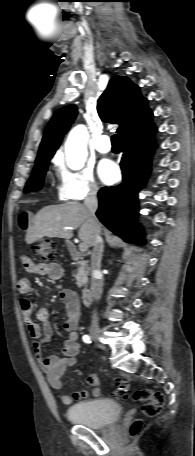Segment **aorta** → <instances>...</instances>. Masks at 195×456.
Returning a JSON list of instances; mask_svg holds the SVG:
<instances>
[{"label":"aorta","instance_id":"762f6f07","mask_svg":"<svg viewBox=\"0 0 195 456\" xmlns=\"http://www.w3.org/2000/svg\"><path fill=\"white\" fill-rule=\"evenodd\" d=\"M89 133L84 125L74 127L65 143L67 166L72 170H80L84 167L87 159V142Z\"/></svg>","mask_w":195,"mask_h":456}]
</instances>
